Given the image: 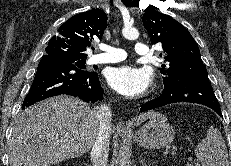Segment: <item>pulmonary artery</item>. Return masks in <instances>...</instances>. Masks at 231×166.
Returning a JSON list of instances; mask_svg holds the SVG:
<instances>
[{
	"mask_svg": "<svg viewBox=\"0 0 231 166\" xmlns=\"http://www.w3.org/2000/svg\"><path fill=\"white\" fill-rule=\"evenodd\" d=\"M101 50L104 52L92 56L90 59L91 64L115 63L120 62L127 57L125 50L118 47L102 45ZM135 51L138 55L146 56L149 54L150 49L146 44L138 42L135 44Z\"/></svg>",
	"mask_w": 231,
	"mask_h": 166,
	"instance_id": "e3ab8cb5",
	"label": "pulmonary artery"
}]
</instances>
